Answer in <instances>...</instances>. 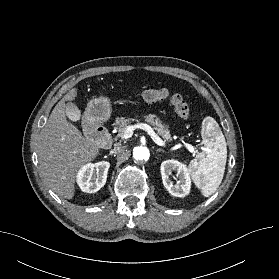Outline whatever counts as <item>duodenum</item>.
I'll list each match as a JSON object with an SVG mask.
<instances>
[{"label": "duodenum", "mask_w": 279, "mask_h": 279, "mask_svg": "<svg viewBox=\"0 0 279 279\" xmlns=\"http://www.w3.org/2000/svg\"><path fill=\"white\" fill-rule=\"evenodd\" d=\"M87 134L91 139L96 140L104 149H108L112 145L111 135L107 128L102 125L89 126Z\"/></svg>", "instance_id": "1"}]
</instances>
